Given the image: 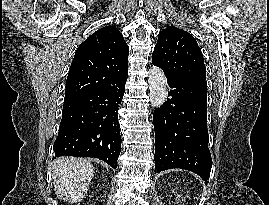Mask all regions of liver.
I'll return each mask as SVG.
<instances>
[{
    "mask_svg": "<svg viewBox=\"0 0 269 205\" xmlns=\"http://www.w3.org/2000/svg\"><path fill=\"white\" fill-rule=\"evenodd\" d=\"M94 167L84 158L60 157L52 165L54 190L60 200L80 202L88 191Z\"/></svg>",
    "mask_w": 269,
    "mask_h": 205,
    "instance_id": "1",
    "label": "liver"
}]
</instances>
